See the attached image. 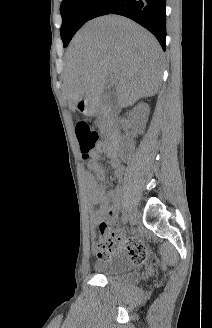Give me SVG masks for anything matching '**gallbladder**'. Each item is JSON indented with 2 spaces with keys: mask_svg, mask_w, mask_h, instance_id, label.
Instances as JSON below:
<instances>
[{
  "mask_svg": "<svg viewBox=\"0 0 212 328\" xmlns=\"http://www.w3.org/2000/svg\"><path fill=\"white\" fill-rule=\"evenodd\" d=\"M102 101L105 103L107 101V97L106 96L102 97Z\"/></svg>",
  "mask_w": 212,
  "mask_h": 328,
  "instance_id": "gallbladder-1",
  "label": "gallbladder"
}]
</instances>
